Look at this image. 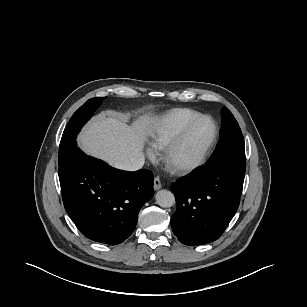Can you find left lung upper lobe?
<instances>
[{
	"label": "left lung upper lobe",
	"instance_id": "left-lung-upper-lobe-1",
	"mask_svg": "<svg viewBox=\"0 0 307 307\" xmlns=\"http://www.w3.org/2000/svg\"><path fill=\"white\" fill-rule=\"evenodd\" d=\"M215 164L229 165L242 172L246 169L244 138L238 122L226 107L222 109L220 140L205 166Z\"/></svg>",
	"mask_w": 307,
	"mask_h": 307
}]
</instances>
